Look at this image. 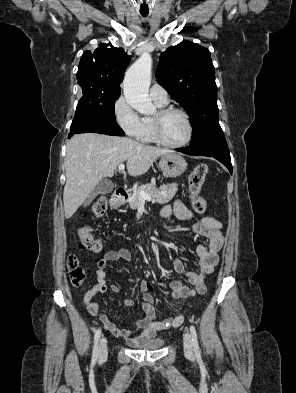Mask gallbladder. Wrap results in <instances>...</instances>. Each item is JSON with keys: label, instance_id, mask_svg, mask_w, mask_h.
Segmentation results:
<instances>
[{"label": "gallbladder", "instance_id": "bac80fb5", "mask_svg": "<svg viewBox=\"0 0 296 393\" xmlns=\"http://www.w3.org/2000/svg\"><path fill=\"white\" fill-rule=\"evenodd\" d=\"M115 185L108 179L103 178L90 193L88 199L84 202V206L89 205L92 200L99 194L111 193Z\"/></svg>", "mask_w": 296, "mask_h": 393}]
</instances>
